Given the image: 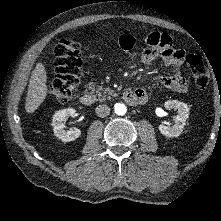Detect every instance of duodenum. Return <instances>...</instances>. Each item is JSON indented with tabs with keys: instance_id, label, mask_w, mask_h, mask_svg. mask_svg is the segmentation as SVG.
Listing matches in <instances>:
<instances>
[{
	"instance_id": "410a0bca",
	"label": "duodenum",
	"mask_w": 221,
	"mask_h": 221,
	"mask_svg": "<svg viewBox=\"0 0 221 221\" xmlns=\"http://www.w3.org/2000/svg\"><path fill=\"white\" fill-rule=\"evenodd\" d=\"M123 98L126 102L132 105L142 104L145 102V98L136 90L126 89L123 92ZM79 102L86 107L94 104L92 95L88 92H83L79 97Z\"/></svg>"
}]
</instances>
